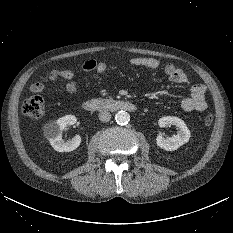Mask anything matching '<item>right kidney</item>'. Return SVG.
<instances>
[{
	"label": "right kidney",
	"mask_w": 233,
	"mask_h": 233,
	"mask_svg": "<svg viewBox=\"0 0 233 233\" xmlns=\"http://www.w3.org/2000/svg\"><path fill=\"white\" fill-rule=\"evenodd\" d=\"M77 122L74 115H66L56 121L50 122L45 126V136L49 140L51 146L58 152H70L78 148L81 143L79 135L74 136L71 140L64 141L62 139V131L68 126Z\"/></svg>",
	"instance_id": "ca27d5eb"
}]
</instances>
